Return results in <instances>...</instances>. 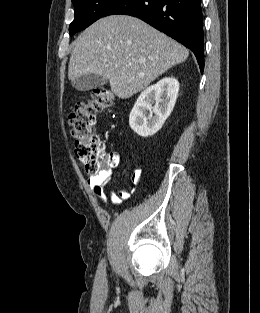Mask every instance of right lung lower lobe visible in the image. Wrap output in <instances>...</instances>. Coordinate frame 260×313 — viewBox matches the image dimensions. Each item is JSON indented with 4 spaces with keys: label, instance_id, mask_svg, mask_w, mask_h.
Returning <instances> with one entry per match:
<instances>
[{
    "label": "right lung lower lobe",
    "instance_id": "right-lung-lower-lobe-1",
    "mask_svg": "<svg viewBox=\"0 0 260 313\" xmlns=\"http://www.w3.org/2000/svg\"><path fill=\"white\" fill-rule=\"evenodd\" d=\"M138 17L191 49L204 69L201 0H119L105 14Z\"/></svg>",
    "mask_w": 260,
    "mask_h": 313
}]
</instances>
